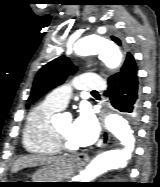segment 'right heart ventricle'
<instances>
[{
	"label": "right heart ventricle",
	"instance_id": "obj_1",
	"mask_svg": "<svg viewBox=\"0 0 160 187\" xmlns=\"http://www.w3.org/2000/svg\"><path fill=\"white\" fill-rule=\"evenodd\" d=\"M59 109L46 100L31 109L22 136L23 147L27 152L39 156H54L60 153L52 123V116Z\"/></svg>",
	"mask_w": 160,
	"mask_h": 187
}]
</instances>
